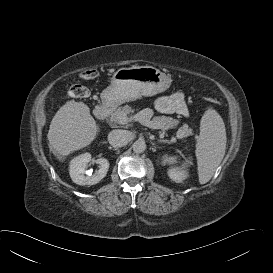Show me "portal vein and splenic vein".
<instances>
[{"label": "portal vein and splenic vein", "mask_w": 273, "mask_h": 273, "mask_svg": "<svg viewBox=\"0 0 273 273\" xmlns=\"http://www.w3.org/2000/svg\"><path fill=\"white\" fill-rule=\"evenodd\" d=\"M125 119H128L129 121H139L142 125H145L147 127L151 128V123L149 120L145 118V112L140 111L139 113L135 114L134 116L130 117H125Z\"/></svg>", "instance_id": "1"}]
</instances>
